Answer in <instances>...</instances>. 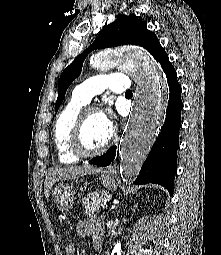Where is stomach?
I'll return each mask as SVG.
<instances>
[{"instance_id": "0dacf381", "label": "stomach", "mask_w": 221, "mask_h": 255, "mask_svg": "<svg viewBox=\"0 0 221 255\" xmlns=\"http://www.w3.org/2000/svg\"><path fill=\"white\" fill-rule=\"evenodd\" d=\"M101 183L109 190L116 189L120 182L116 175L112 173H103L100 177ZM52 201L56 204L59 211L67 215L74 203V192L72 187L64 182L56 185L52 190Z\"/></svg>"}]
</instances>
